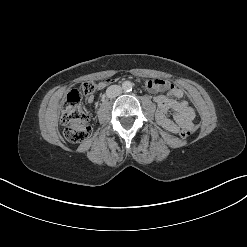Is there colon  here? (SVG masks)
Listing matches in <instances>:
<instances>
[{
	"instance_id": "obj_1",
	"label": "colon",
	"mask_w": 247,
	"mask_h": 247,
	"mask_svg": "<svg viewBox=\"0 0 247 247\" xmlns=\"http://www.w3.org/2000/svg\"><path fill=\"white\" fill-rule=\"evenodd\" d=\"M97 84L92 81L84 82L80 89L68 93L62 107L61 122L64 125V137L71 143H78L88 139L92 134L89 117L81 106L82 95H91L97 89ZM191 131L182 128L179 135L186 138Z\"/></svg>"
}]
</instances>
